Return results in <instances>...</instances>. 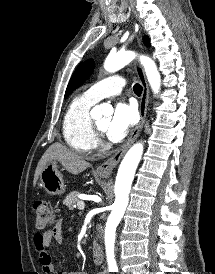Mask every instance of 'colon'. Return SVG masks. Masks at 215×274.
<instances>
[{"mask_svg": "<svg viewBox=\"0 0 215 274\" xmlns=\"http://www.w3.org/2000/svg\"><path fill=\"white\" fill-rule=\"evenodd\" d=\"M34 210L36 214L35 225L38 229H44L53 223L54 212L46 200L39 199L35 201Z\"/></svg>", "mask_w": 215, "mask_h": 274, "instance_id": "1", "label": "colon"}]
</instances>
